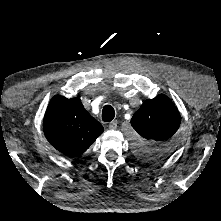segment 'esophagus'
Here are the masks:
<instances>
[{"label": "esophagus", "instance_id": "obj_1", "mask_svg": "<svg viewBox=\"0 0 221 221\" xmlns=\"http://www.w3.org/2000/svg\"><path fill=\"white\" fill-rule=\"evenodd\" d=\"M117 124H118V121H117V120H113V121H111V122L109 123L108 128H109L110 130H114V129L117 128Z\"/></svg>", "mask_w": 221, "mask_h": 221}]
</instances>
